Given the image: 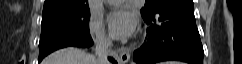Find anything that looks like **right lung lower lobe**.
<instances>
[{
    "label": "right lung lower lobe",
    "instance_id": "98d812e1",
    "mask_svg": "<svg viewBox=\"0 0 242 64\" xmlns=\"http://www.w3.org/2000/svg\"><path fill=\"white\" fill-rule=\"evenodd\" d=\"M93 45V41L87 45H84V46H81V47H87V48H90L91 46ZM109 61H111L113 64H117V62L113 59V58H108ZM42 59H39V62L41 61Z\"/></svg>",
    "mask_w": 242,
    "mask_h": 64
}]
</instances>
